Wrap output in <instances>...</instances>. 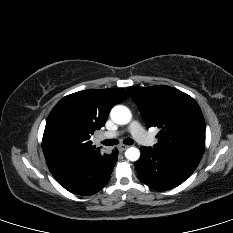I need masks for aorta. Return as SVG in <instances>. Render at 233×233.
Listing matches in <instances>:
<instances>
[{
  "label": "aorta",
  "instance_id": "aorta-1",
  "mask_svg": "<svg viewBox=\"0 0 233 233\" xmlns=\"http://www.w3.org/2000/svg\"><path fill=\"white\" fill-rule=\"evenodd\" d=\"M111 119L119 125H124L130 122L131 112L123 105L114 106L110 112ZM125 157L130 161H137L140 158V151L135 147H130L125 152Z\"/></svg>",
  "mask_w": 233,
  "mask_h": 233
}]
</instances>
